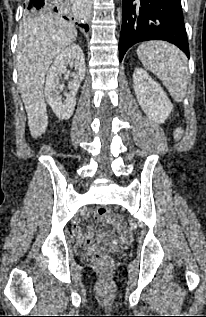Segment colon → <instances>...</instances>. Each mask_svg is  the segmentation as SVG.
<instances>
[{
	"instance_id": "colon-1",
	"label": "colon",
	"mask_w": 206,
	"mask_h": 317,
	"mask_svg": "<svg viewBox=\"0 0 206 317\" xmlns=\"http://www.w3.org/2000/svg\"><path fill=\"white\" fill-rule=\"evenodd\" d=\"M96 216L102 221L112 222L118 227L124 226V222L120 217H114L110 211L105 207H99L95 211ZM95 267L99 270H108L113 266V257L105 251L96 250L92 257Z\"/></svg>"
}]
</instances>
